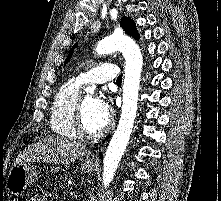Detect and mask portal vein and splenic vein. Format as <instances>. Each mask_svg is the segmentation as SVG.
<instances>
[{"label": "portal vein and splenic vein", "instance_id": "18ae733b", "mask_svg": "<svg viewBox=\"0 0 221 201\" xmlns=\"http://www.w3.org/2000/svg\"><path fill=\"white\" fill-rule=\"evenodd\" d=\"M70 195L73 197V198H77L78 195L75 193V192H71Z\"/></svg>", "mask_w": 221, "mask_h": 201}]
</instances>
